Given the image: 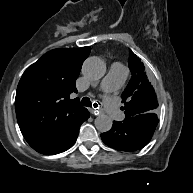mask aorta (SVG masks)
<instances>
[{
    "label": "aorta",
    "mask_w": 193,
    "mask_h": 193,
    "mask_svg": "<svg viewBox=\"0 0 193 193\" xmlns=\"http://www.w3.org/2000/svg\"><path fill=\"white\" fill-rule=\"evenodd\" d=\"M83 74L93 80H98L102 78L105 74L106 71V66L103 60H101L98 57H90L88 58L82 68ZM95 127L99 132H107L111 129L112 127V119L105 115V114H100L97 116L95 119Z\"/></svg>",
    "instance_id": "obj_1"
}]
</instances>
